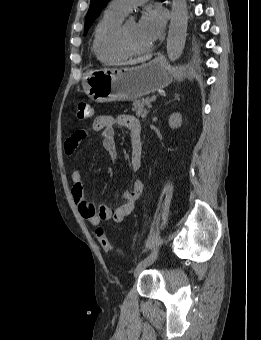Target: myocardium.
<instances>
[{
	"label": "myocardium",
	"instance_id": "obj_1",
	"mask_svg": "<svg viewBox=\"0 0 261 340\" xmlns=\"http://www.w3.org/2000/svg\"><path fill=\"white\" fill-rule=\"evenodd\" d=\"M116 44L117 47L127 56H134V55H142L149 52L152 49V46H148L145 49H134L128 40L127 33H126V23H122L118 29L117 36H116Z\"/></svg>",
	"mask_w": 261,
	"mask_h": 340
}]
</instances>
